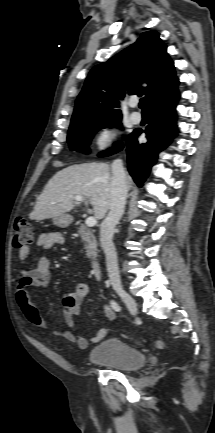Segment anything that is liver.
I'll return each instance as SVG.
<instances>
[{
    "instance_id": "liver-1",
    "label": "liver",
    "mask_w": 215,
    "mask_h": 433,
    "mask_svg": "<svg viewBox=\"0 0 215 433\" xmlns=\"http://www.w3.org/2000/svg\"><path fill=\"white\" fill-rule=\"evenodd\" d=\"M127 189L132 179L126 176ZM89 198L95 217L102 219L110 209L112 196V170L102 162H91L68 166L58 171L45 185L37 198L32 220L55 218L71 211L75 206L74 196Z\"/></svg>"
}]
</instances>
